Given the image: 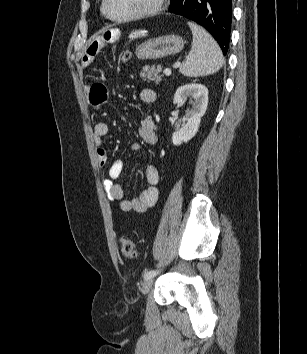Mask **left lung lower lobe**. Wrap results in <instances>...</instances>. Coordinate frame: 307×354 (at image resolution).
Returning a JSON list of instances; mask_svg holds the SVG:
<instances>
[{"label": "left lung lower lobe", "instance_id": "0a47b994", "mask_svg": "<svg viewBox=\"0 0 307 354\" xmlns=\"http://www.w3.org/2000/svg\"><path fill=\"white\" fill-rule=\"evenodd\" d=\"M169 12L184 16L207 29L224 54L229 47L232 0H172Z\"/></svg>", "mask_w": 307, "mask_h": 354}]
</instances>
